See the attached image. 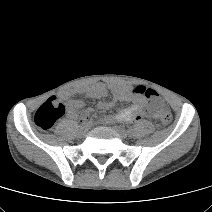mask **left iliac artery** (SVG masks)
Segmentation results:
<instances>
[{"mask_svg": "<svg viewBox=\"0 0 212 212\" xmlns=\"http://www.w3.org/2000/svg\"><path fill=\"white\" fill-rule=\"evenodd\" d=\"M129 132H132V129H129Z\"/></svg>", "mask_w": 212, "mask_h": 212, "instance_id": "obj_1", "label": "left iliac artery"}]
</instances>
